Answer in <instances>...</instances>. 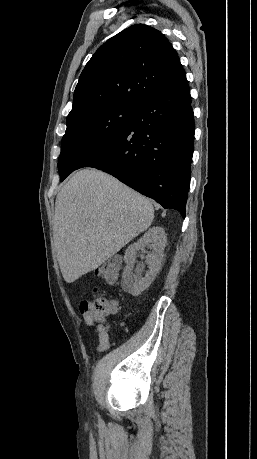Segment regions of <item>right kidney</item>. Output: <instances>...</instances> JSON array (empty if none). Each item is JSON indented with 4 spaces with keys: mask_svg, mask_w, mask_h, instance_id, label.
I'll return each mask as SVG.
<instances>
[{
    "mask_svg": "<svg viewBox=\"0 0 257 459\" xmlns=\"http://www.w3.org/2000/svg\"><path fill=\"white\" fill-rule=\"evenodd\" d=\"M166 243L167 237L164 229L159 226H154L136 243L131 244L126 249L124 255L126 267L123 270L121 282L122 289L125 292L133 296H138L150 286L161 268ZM145 247L152 251L146 256L148 271H146L145 276L142 277L141 274L144 271V266H137L136 273H133V268L138 251H144Z\"/></svg>",
    "mask_w": 257,
    "mask_h": 459,
    "instance_id": "1",
    "label": "right kidney"
}]
</instances>
